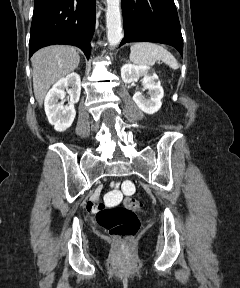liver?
I'll list each match as a JSON object with an SVG mask.
<instances>
[{"label": "liver", "instance_id": "6515ba94", "mask_svg": "<svg viewBox=\"0 0 240 288\" xmlns=\"http://www.w3.org/2000/svg\"><path fill=\"white\" fill-rule=\"evenodd\" d=\"M31 62L34 95L41 106L51 85L78 67L80 56L73 47L54 45L37 51Z\"/></svg>", "mask_w": 240, "mask_h": 288}]
</instances>
